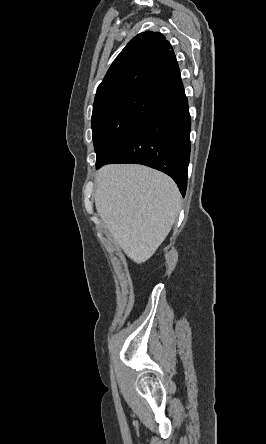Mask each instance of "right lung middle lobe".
<instances>
[{"mask_svg":"<svg viewBox=\"0 0 266 444\" xmlns=\"http://www.w3.org/2000/svg\"><path fill=\"white\" fill-rule=\"evenodd\" d=\"M163 103L152 94L132 92L94 106L92 136L96 165Z\"/></svg>","mask_w":266,"mask_h":444,"instance_id":"right-lung-middle-lobe-1","label":"right lung middle lobe"}]
</instances>
